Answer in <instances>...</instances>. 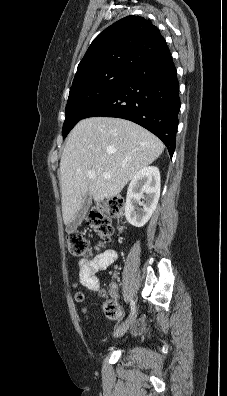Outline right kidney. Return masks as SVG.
I'll return each mask as SVG.
<instances>
[{
	"label": "right kidney",
	"instance_id": "right-kidney-1",
	"mask_svg": "<svg viewBox=\"0 0 227 396\" xmlns=\"http://www.w3.org/2000/svg\"><path fill=\"white\" fill-rule=\"evenodd\" d=\"M160 197V172L157 167L140 169L132 178L126 197L125 216L127 221L142 227L156 209ZM141 199L144 201L141 202Z\"/></svg>",
	"mask_w": 227,
	"mask_h": 396
}]
</instances>
